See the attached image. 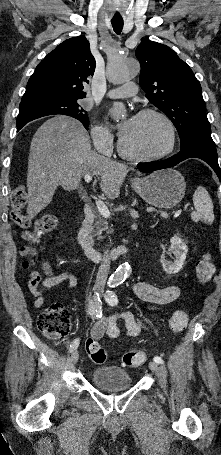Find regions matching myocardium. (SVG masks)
I'll return each mask as SVG.
<instances>
[{"instance_id": "f54148a6", "label": "myocardium", "mask_w": 221, "mask_h": 455, "mask_svg": "<svg viewBox=\"0 0 221 455\" xmlns=\"http://www.w3.org/2000/svg\"><path fill=\"white\" fill-rule=\"evenodd\" d=\"M150 115L155 116L158 119H160L162 121V123L164 124V126L166 127L167 133H168L167 146L164 149H162L158 152H155V153L137 154V153L128 151L124 147L122 139L119 138L117 147H118L119 153L123 157H125L129 160L140 161V162L141 161H155V160L164 158L173 152V150L176 146V131H175V127H174V124L172 123L171 119L162 111L154 109V108L142 109L135 115V117H145V116H150Z\"/></svg>"}]
</instances>
